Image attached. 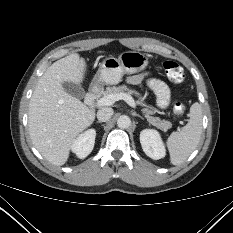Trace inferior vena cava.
<instances>
[{"mask_svg": "<svg viewBox=\"0 0 233 233\" xmlns=\"http://www.w3.org/2000/svg\"><path fill=\"white\" fill-rule=\"evenodd\" d=\"M112 115H113V109L108 107L101 108L97 112V118L101 122L108 121L112 117Z\"/></svg>", "mask_w": 233, "mask_h": 233, "instance_id": "inferior-vena-cava-1", "label": "inferior vena cava"}]
</instances>
